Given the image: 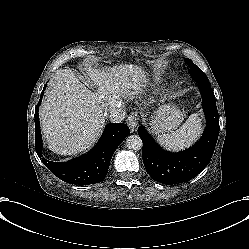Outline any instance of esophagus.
<instances>
[{
    "instance_id": "1",
    "label": "esophagus",
    "mask_w": 249,
    "mask_h": 249,
    "mask_svg": "<svg viewBox=\"0 0 249 249\" xmlns=\"http://www.w3.org/2000/svg\"><path fill=\"white\" fill-rule=\"evenodd\" d=\"M128 126L131 132H135L138 127V115L136 112H132L127 119Z\"/></svg>"
}]
</instances>
